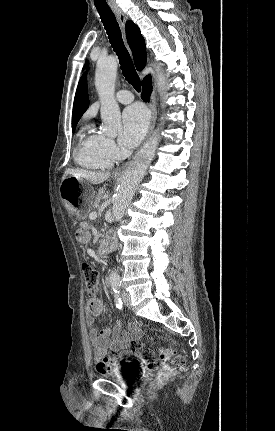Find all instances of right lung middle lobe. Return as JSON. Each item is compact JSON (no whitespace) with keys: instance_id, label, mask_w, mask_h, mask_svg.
Listing matches in <instances>:
<instances>
[{"instance_id":"obj_1","label":"right lung middle lobe","mask_w":275,"mask_h":431,"mask_svg":"<svg viewBox=\"0 0 275 431\" xmlns=\"http://www.w3.org/2000/svg\"><path fill=\"white\" fill-rule=\"evenodd\" d=\"M75 127H76V125H73V126H72V131H74V130H75Z\"/></svg>"}]
</instances>
